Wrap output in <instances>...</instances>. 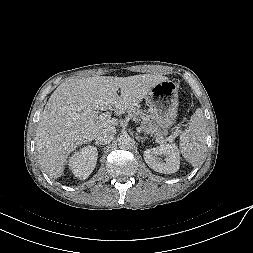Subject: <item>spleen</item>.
<instances>
[{
	"instance_id": "spleen-1",
	"label": "spleen",
	"mask_w": 253,
	"mask_h": 253,
	"mask_svg": "<svg viewBox=\"0 0 253 253\" xmlns=\"http://www.w3.org/2000/svg\"><path fill=\"white\" fill-rule=\"evenodd\" d=\"M206 145V124L201 108H197L190 118L189 126L180 136V151L193 167L203 162Z\"/></svg>"
}]
</instances>
